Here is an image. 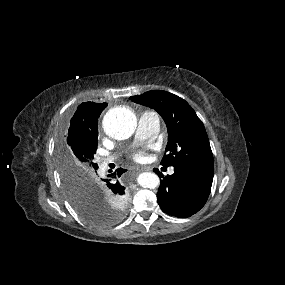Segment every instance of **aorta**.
Returning a JSON list of instances; mask_svg holds the SVG:
<instances>
[{
	"label": "aorta",
	"instance_id": "1",
	"mask_svg": "<svg viewBox=\"0 0 285 285\" xmlns=\"http://www.w3.org/2000/svg\"><path fill=\"white\" fill-rule=\"evenodd\" d=\"M136 127L134 113L126 107H115L110 109L103 119V129L107 135L115 139L123 140L130 137ZM137 182L140 186L155 189L160 184L159 177L152 172L141 173Z\"/></svg>",
	"mask_w": 285,
	"mask_h": 285
}]
</instances>
